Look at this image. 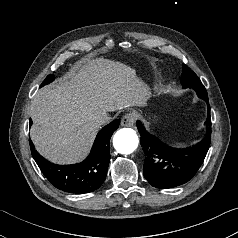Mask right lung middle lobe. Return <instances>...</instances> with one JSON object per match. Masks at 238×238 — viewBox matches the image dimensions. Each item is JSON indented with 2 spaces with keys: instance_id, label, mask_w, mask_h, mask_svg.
Returning a JSON list of instances; mask_svg holds the SVG:
<instances>
[{
  "instance_id": "right-lung-middle-lobe-1",
  "label": "right lung middle lobe",
  "mask_w": 238,
  "mask_h": 238,
  "mask_svg": "<svg viewBox=\"0 0 238 238\" xmlns=\"http://www.w3.org/2000/svg\"><path fill=\"white\" fill-rule=\"evenodd\" d=\"M55 79L54 75L50 74L46 77V79L42 82L41 87L49 84L50 82H52Z\"/></svg>"
}]
</instances>
